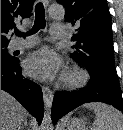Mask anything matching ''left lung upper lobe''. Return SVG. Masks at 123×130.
Here are the masks:
<instances>
[{"label":"left lung upper lobe","instance_id":"obj_1","mask_svg":"<svg viewBox=\"0 0 123 130\" xmlns=\"http://www.w3.org/2000/svg\"><path fill=\"white\" fill-rule=\"evenodd\" d=\"M65 7V21L77 29L71 57L95 73L116 79L111 15L106 0H57Z\"/></svg>","mask_w":123,"mask_h":130}]
</instances>
